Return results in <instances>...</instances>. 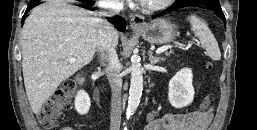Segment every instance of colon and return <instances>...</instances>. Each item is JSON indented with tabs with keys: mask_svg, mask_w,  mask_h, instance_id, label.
I'll return each mask as SVG.
<instances>
[{
	"mask_svg": "<svg viewBox=\"0 0 257 130\" xmlns=\"http://www.w3.org/2000/svg\"><path fill=\"white\" fill-rule=\"evenodd\" d=\"M208 68H211L208 65ZM78 87L77 79H69L57 89L54 94L44 103L39 114L38 121L46 129H52L71 108L73 96ZM214 93L207 94L200 104L202 111H207L214 100Z\"/></svg>",
	"mask_w": 257,
	"mask_h": 130,
	"instance_id": "colon-1",
	"label": "colon"
}]
</instances>
